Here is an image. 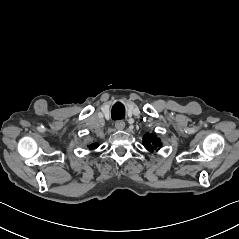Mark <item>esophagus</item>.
<instances>
[{
    "label": "esophagus",
    "instance_id": "1",
    "mask_svg": "<svg viewBox=\"0 0 239 239\" xmlns=\"http://www.w3.org/2000/svg\"><path fill=\"white\" fill-rule=\"evenodd\" d=\"M115 127L119 130H123L124 127H125V122L123 120H118L116 123H115Z\"/></svg>",
    "mask_w": 239,
    "mask_h": 239
}]
</instances>
